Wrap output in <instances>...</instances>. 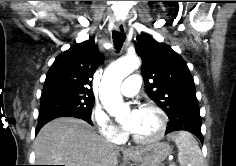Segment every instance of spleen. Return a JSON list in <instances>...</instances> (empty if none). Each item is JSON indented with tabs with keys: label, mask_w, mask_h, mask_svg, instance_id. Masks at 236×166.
<instances>
[{
	"label": "spleen",
	"mask_w": 236,
	"mask_h": 166,
	"mask_svg": "<svg viewBox=\"0 0 236 166\" xmlns=\"http://www.w3.org/2000/svg\"><path fill=\"white\" fill-rule=\"evenodd\" d=\"M179 150L178 161L181 166H205L200 147L187 131H179L169 136Z\"/></svg>",
	"instance_id": "obj_1"
}]
</instances>
